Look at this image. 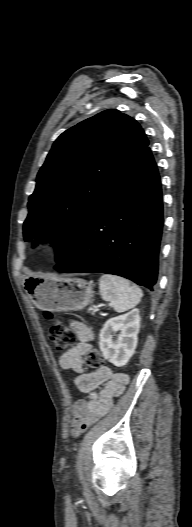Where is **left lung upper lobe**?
<instances>
[{
  "label": "left lung upper lobe",
  "mask_w": 192,
  "mask_h": 527,
  "mask_svg": "<svg viewBox=\"0 0 192 527\" xmlns=\"http://www.w3.org/2000/svg\"><path fill=\"white\" fill-rule=\"evenodd\" d=\"M148 144L137 121L114 109L62 133L29 197L25 241L54 239L59 262L113 183Z\"/></svg>",
  "instance_id": "1"
}]
</instances>
